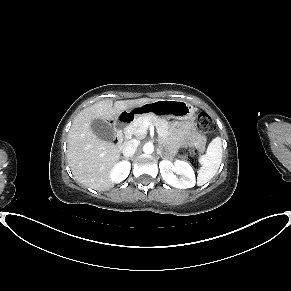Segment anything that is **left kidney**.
<instances>
[{
    "label": "left kidney",
    "mask_w": 291,
    "mask_h": 291,
    "mask_svg": "<svg viewBox=\"0 0 291 291\" xmlns=\"http://www.w3.org/2000/svg\"><path fill=\"white\" fill-rule=\"evenodd\" d=\"M159 168L163 180L173 187L187 189L194 187L196 184L194 170L185 161L162 160L159 163ZM173 172L180 176H176Z\"/></svg>",
    "instance_id": "obj_1"
}]
</instances>
